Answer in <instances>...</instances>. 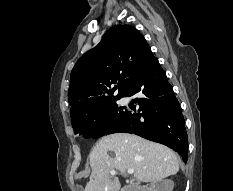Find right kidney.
Segmentation results:
<instances>
[{
	"mask_svg": "<svg viewBox=\"0 0 233 191\" xmlns=\"http://www.w3.org/2000/svg\"><path fill=\"white\" fill-rule=\"evenodd\" d=\"M174 182L170 179L160 180L158 184L151 187V191H172Z\"/></svg>",
	"mask_w": 233,
	"mask_h": 191,
	"instance_id": "1",
	"label": "right kidney"
}]
</instances>
